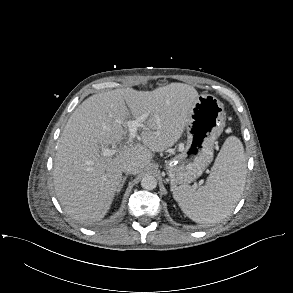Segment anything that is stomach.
I'll list each match as a JSON object with an SVG mask.
<instances>
[{"instance_id": "stomach-1", "label": "stomach", "mask_w": 293, "mask_h": 293, "mask_svg": "<svg viewBox=\"0 0 293 293\" xmlns=\"http://www.w3.org/2000/svg\"><path fill=\"white\" fill-rule=\"evenodd\" d=\"M224 126L223 103L213 95H199L186 125L187 140L167 163L171 186L187 185L203 173L212 161L215 140Z\"/></svg>"}]
</instances>
